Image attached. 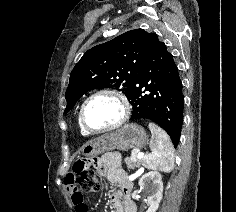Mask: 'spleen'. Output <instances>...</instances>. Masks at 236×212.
Listing matches in <instances>:
<instances>
[{"instance_id": "3e777b00", "label": "spleen", "mask_w": 236, "mask_h": 212, "mask_svg": "<svg viewBox=\"0 0 236 212\" xmlns=\"http://www.w3.org/2000/svg\"><path fill=\"white\" fill-rule=\"evenodd\" d=\"M152 137L150 141L151 153L143 158L147 169L169 173L174 168V147L168 134L155 123L148 125Z\"/></svg>"}]
</instances>
